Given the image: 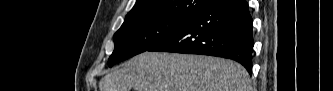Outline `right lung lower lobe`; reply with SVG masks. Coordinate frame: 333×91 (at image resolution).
Listing matches in <instances>:
<instances>
[{
    "label": "right lung lower lobe",
    "instance_id": "right-lung-lower-lobe-1",
    "mask_svg": "<svg viewBox=\"0 0 333 91\" xmlns=\"http://www.w3.org/2000/svg\"><path fill=\"white\" fill-rule=\"evenodd\" d=\"M253 21L245 0H216L148 51L233 59L252 72Z\"/></svg>",
    "mask_w": 333,
    "mask_h": 91
}]
</instances>
